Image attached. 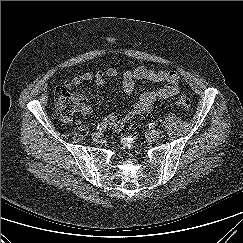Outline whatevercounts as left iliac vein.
<instances>
[{
	"label": "left iliac vein",
	"instance_id": "obj_1",
	"mask_svg": "<svg viewBox=\"0 0 243 243\" xmlns=\"http://www.w3.org/2000/svg\"><path fill=\"white\" fill-rule=\"evenodd\" d=\"M149 137L152 139V140H158L160 139L161 137V133L157 130H151L149 133H148Z\"/></svg>",
	"mask_w": 243,
	"mask_h": 243
}]
</instances>
